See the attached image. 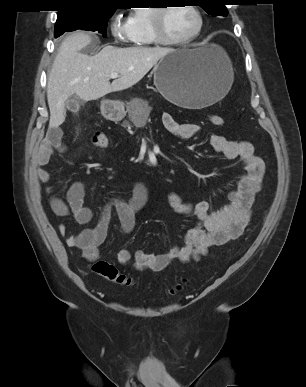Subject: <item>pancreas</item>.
I'll return each mask as SVG.
<instances>
[{
    "mask_svg": "<svg viewBox=\"0 0 306 387\" xmlns=\"http://www.w3.org/2000/svg\"><path fill=\"white\" fill-rule=\"evenodd\" d=\"M131 105L140 106L139 110L132 111L130 113V118L134 121L136 125L143 126L147 120L149 113L148 101L142 99H133L131 101Z\"/></svg>",
    "mask_w": 306,
    "mask_h": 387,
    "instance_id": "cf45deb5",
    "label": "pancreas"
}]
</instances>
